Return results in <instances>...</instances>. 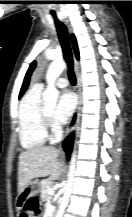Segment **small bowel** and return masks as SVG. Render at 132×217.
Returning a JSON list of instances; mask_svg holds the SVG:
<instances>
[{
  "instance_id": "small-bowel-1",
  "label": "small bowel",
  "mask_w": 132,
  "mask_h": 217,
  "mask_svg": "<svg viewBox=\"0 0 132 217\" xmlns=\"http://www.w3.org/2000/svg\"><path fill=\"white\" fill-rule=\"evenodd\" d=\"M23 211H24V206H23ZM23 211H22L20 217H25L24 214H23Z\"/></svg>"
}]
</instances>
